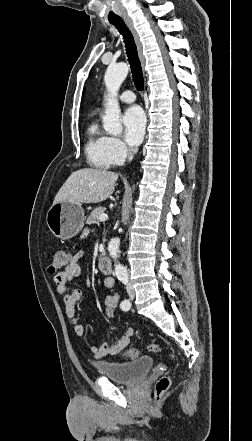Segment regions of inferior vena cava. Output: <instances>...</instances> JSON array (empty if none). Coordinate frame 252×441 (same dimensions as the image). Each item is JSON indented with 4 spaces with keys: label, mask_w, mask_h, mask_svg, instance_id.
I'll return each mask as SVG.
<instances>
[{
    "label": "inferior vena cava",
    "mask_w": 252,
    "mask_h": 441,
    "mask_svg": "<svg viewBox=\"0 0 252 441\" xmlns=\"http://www.w3.org/2000/svg\"><path fill=\"white\" fill-rule=\"evenodd\" d=\"M130 159H132V156L130 157ZM127 290H128V291H132V286H131V285H128V286H127Z\"/></svg>",
    "instance_id": "obj_1"
}]
</instances>
